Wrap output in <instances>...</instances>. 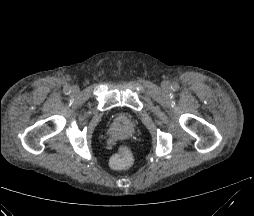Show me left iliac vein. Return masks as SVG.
Masks as SVG:
<instances>
[{
	"mask_svg": "<svg viewBox=\"0 0 254 216\" xmlns=\"http://www.w3.org/2000/svg\"><path fill=\"white\" fill-rule=\"evenodd\" d=\"M163 89H165V90L169 89V83L168 82L163 83Z\"/></svg>",
	"mask_w": 254,
	"mask_h": 216,
	"instance_id": "obj_1",
	"label": "left iliac vein"
}]
</instances>
